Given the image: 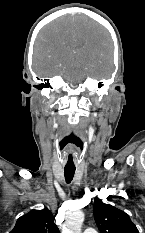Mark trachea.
<instances>
[{
    "instance_id": "obj_1",
    "label": "trachea",
    "mask_w": 145,
    "mask_h": 233,
    "mask_svg": "<svg viewBox=\"0 0 145 233\" xmlns=\"http://www.w3.org/2000/svg\"><path fill=\"white\" fill-rule=\"evenodd\" d=\"M74 174H75V167L73 168H64V175H65V180L66 182L69 184L73 177H74Z\"/></svg>"
}]
</instances>
